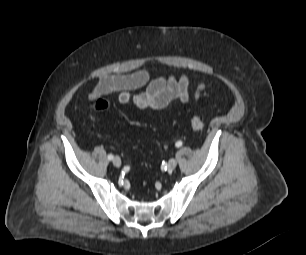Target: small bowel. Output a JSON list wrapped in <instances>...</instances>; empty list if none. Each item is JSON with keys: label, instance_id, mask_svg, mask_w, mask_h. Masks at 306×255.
<instances>
[{"label": "small bowel", "instance_id": "small-bowel-1", "mask_svg": "<svg viewBox=\"0 0 306 255\" xmlns=\"http://www.w3.org/2000/svg\"><path fill=\"white\" fill-rule=\"evenodd\" d=\"M144 86H146L144 91L134 93ZM203 89L204 84L200 83L191 91L185 75L161 76L151 80L149 72L141 69L130 74L101 76L90 94V100L118 93V102L122 106L133 103L140 110H159L174 100L185 103L191 99H198Z\"/></svg>", "mask_w": 306, "mask_h": 255}]
</instances>
